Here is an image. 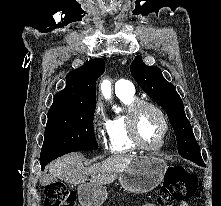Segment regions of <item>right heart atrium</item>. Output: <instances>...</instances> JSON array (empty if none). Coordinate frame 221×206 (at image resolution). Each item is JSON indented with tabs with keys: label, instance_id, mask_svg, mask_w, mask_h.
<instances>
[{
	"label": "right heart atrium",
	"instance_id": "obj_1",
	"mask_svg": "<svg viewBox=\"0 0 221 206\" xmlns=\"http://www.w3.org/2000/svg\"><path fill=\"white\" fill-rule=\"evenodd\" d=\"M95 116H96V121L98 123V126H100L102 124V110L100 106L96 107ZM105 127H106V124H105ZM96 136L97 138L101 137L100 129H97Z\"/></svg>",
	"mask_w": 221,
	"mask_h": 206
}]
</instances>
